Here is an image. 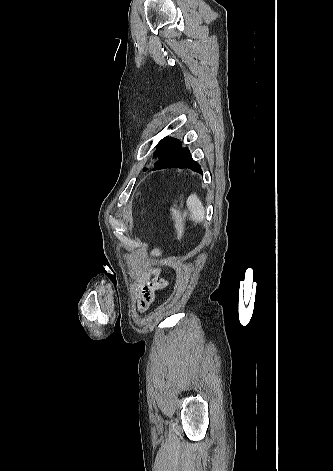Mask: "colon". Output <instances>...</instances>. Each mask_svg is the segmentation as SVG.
Returning a JSON list of instances; mask_svg holds the SVG:
<instances>
[{
	"mask_svg": "<svg viewBox=\"0 0 333 471\" xmlns=\"http://www.w3.org/2000/svg\"><path fill=\"white\" fill-rule=\"evenodd\" d=\"M170 216L174 224L176 242L180 243L184 235V217L182 210L176 203L170 207Z\"/></svg>",
	"mask_w": 333,
	"mask_h": 471,
	"instance_id": "obj_1",
	"label": "colon"
}]
</instances>
